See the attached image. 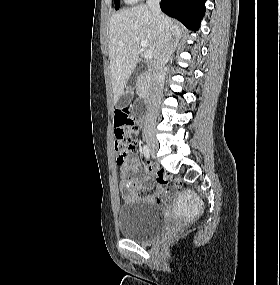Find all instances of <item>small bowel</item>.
I'll use <instances>...</instances> for the list:
<instances>
[{"mask_svg": "<svg viewBox=\"0 0 280 285\" xmlns=\"http://www.w3.org/2000/svg\"><path fill=\"white\" fill-rule=\"evenodd\" d=\"M150 173L156 174L157 170L150 165L148 167ZM121 172H122V194L124 199L133 200L138 198V190H143L145 184L150 183L149 177L143 172L141 168L140 161L137 157L131 156L121 163ZM135 174L136 177L130 178L129 174ZM163 189L158 186L156 190L148 195L145 200L148 202H154L158 205L164 203V198L162 196Z\"/></svg>", "mask_w": 280, "mask_h": 285, "instance_id": "obj_1", "label": "small bowel"}]
</instances>
